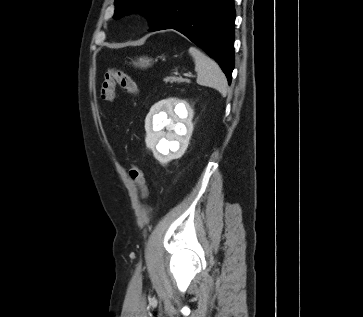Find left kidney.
I'll return each mask as SVG.
<instances>
[{
	"label": "left kidney",
	"instance_id": "5707ae66",
	"mask_svg": "<svg viewBox=\"0 0 363 317\" xmlns=\"http://www.w3.org/2000/svg\"><path fill=\"white\" fill-rule=\"evenodd\" d=\"M192 118L191 108L173 98L159 101L151 108L146 118L145 141L157 160L165 164L185 153L193 131Z\"/></svg>",
	"mask_w": 363,
	"mask_h": 317
}]
</instances>
